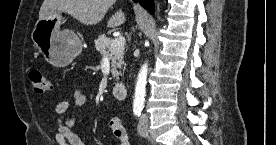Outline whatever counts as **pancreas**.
Listing matches in <instances>:
<instances>
[{
    "label": "pancreas",
    "mask_w": 276,
    "mask_h": 145,
    "mask_svg": "<svg viewBox=\"0 0 276 145\" xmlns=\"http://www.w3.org/2000/svg\"><path fill=\"white\" fill-rule=\"evenodd\" d=\"M111 43L112 40L103 34L95 40V48L101 55L109 56L111 60L112 77L119 80V76L121 75L120 69L125 64L123 60L124 47L112 49L110 47Z\"/></svg>",
    "instance_id": "obj_1"
}]
</instances>
